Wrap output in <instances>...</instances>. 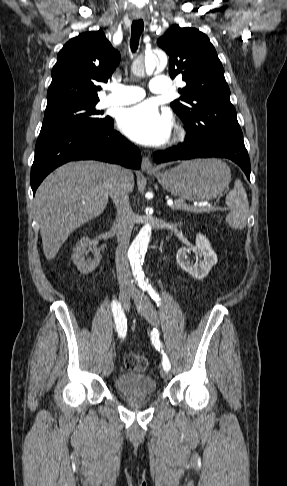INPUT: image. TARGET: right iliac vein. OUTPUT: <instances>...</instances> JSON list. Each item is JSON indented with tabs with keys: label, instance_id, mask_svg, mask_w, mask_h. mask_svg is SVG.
<instances>
[{
	"label": "right iliac vein",
	"instance_id": "63e3f726",
	"mask_svg": "<svg viewBox=\"0 0 287 486\" xmlns=\"http://www.w3.org/2000/svg\"><path fill=\"white\" fill-rule=\"evenodd\" d=\"M130 297H131V292L128 291V290H122L120 292V295H119V300H120V303L122 304V306L127 309L129 307V303H130ZM112 368H113V360H112V352L110 351L105 360H104V363H103V368H102V371H103V375L104 376H109L112 372Z\"/></svg>",
	"mask_w": 287,
	"mask_h": 486
}]
</instances>
